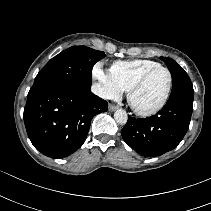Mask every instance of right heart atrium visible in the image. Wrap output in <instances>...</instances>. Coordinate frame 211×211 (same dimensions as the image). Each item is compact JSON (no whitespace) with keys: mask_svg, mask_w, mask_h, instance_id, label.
I'll return each mask as SVG.
<instances>
[{"mask_svg":"<svg viewBox=\"0 0 211 211\" xmlns=\"http://www.w3.org/2000/svg\"><path fill=\"white\" fill-rule=\"evenodd\" d=\"M93 76L98 81V94L106 99H116L122 94L121 88L114 81L110 71L97 64L93 68Z\"/></svg>","mask_w":211,"mask_h":211,"instance_id":"right-heart-atrium-1","label":"right heart atrium"}]
</instances>
